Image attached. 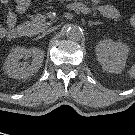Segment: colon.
Masks as SVG:
<instances>
[{"instance_id": "colon-1", "label": "colon", "mask_w": 135, "mask_h": 135, "mask_svg": "<svg viewBox=\"0 0 135 135\" xmlns=\"http://www.w3.org/2000/svg\"><path fill=\"white\" fill-rule=\"evenodd\" d=\"M130 24L135 28V14H133L130 18Z\"/></svg>"}]
</instances>
